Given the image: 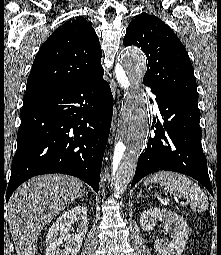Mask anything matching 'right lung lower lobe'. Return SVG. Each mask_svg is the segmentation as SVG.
<instances>
[{
    "label": "right lung lower lobe",
    "instance_id": "obj_1",
    "mask_svg": "<svg viewBox=\"0 0 221 255\" xmlns=\"http://www.w3.org/2000/svg\"><path fill=\"white\" fill-rule=\"evenodd\" d=\"M112 114L113 97L103 70L25 96L6 201L24 181L48 173L73 175L98 192Z\"/></svg>",
    "mask_w": 221,
    "mask_h": 255
}]
</instances>
